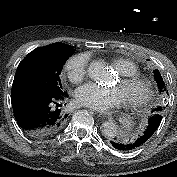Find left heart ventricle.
<instances>
[{
  "label": "left heart ventricle",
  "mask_w": 177,
  "mask_h": 177,
  "mask_svg": "<svg viewBox=\"0 0 177 177\" xmlns=\"http://www.w3.org/2000/svg\"><path fill=\"white\" fill-rule=\"evenodd\" d=\"M115 85L122 91L125 99L129 97L138 96L141 93V89L138 86H130L123 84L121 83L120 79L116 81Z\"/></svg>",
  "instance_id": "left-heart-ventricle-1"
}]
</instances>
